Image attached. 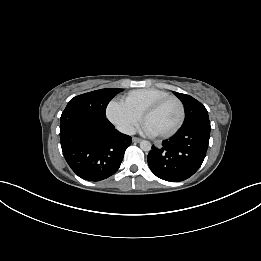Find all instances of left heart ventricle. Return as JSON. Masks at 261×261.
<instances>
[{
  "label": "left heart ventricle",
  "mask_w": 261,
  "mask_h": 261,
  "mask_svg": "<svg viewBox=\"0 0 261 261\" xmlns=\"http://www.w3.org/2000/svg\"><path fill=\"white\" fill-rule=\"evenodd\" d=\"M180 109L175 101H168L145 118L148 124L156 133H163L171 130L179 121Z\"/></svg>",
  "instance_id": "b2bd125f"
}]
</instances>
